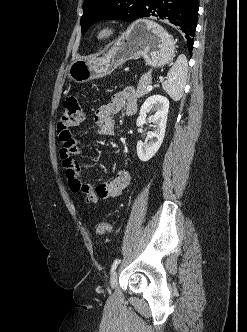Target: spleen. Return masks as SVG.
<instances>
[{
  "label": "spleen",
  "mask_w": 247,
  "mask_h": 332,
  "mask_svg": "<svg viewBox=\"0 0 247 332\" xmlns=\"http://www.w3.org/2000/svg\"><path fill=\"white\" fill-rule=\"evenodd\" d=\"M186 79L187 59L181 54L169 70L167 79L162 83V88L174 101H178L183 95Z\"/></svg>",
  "instance_id": "1"
}]
</instances>
